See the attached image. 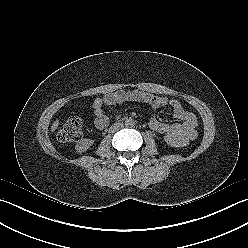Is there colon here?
I'll use <instances>...</instances> for the list:
<instances>
[{
	"label": "colon",
	"instance_id": "5ec220e1",
	"mask_svg": "<svg viewBox=\"0 0 248 248\" xmlns=\"http://www.w3.org/2000/svg\"><path fill=\"white\" fill-rule=\"evenodd\" d=\"M83 137L82 121L78 117H71L61 124L57 130V138L62 142H76ZM164 140L171 147H180L182 140L172 134H165Z\"/></svg>",
	"mask_w": 248,
	"mask_h": 248
}]
</instances>
